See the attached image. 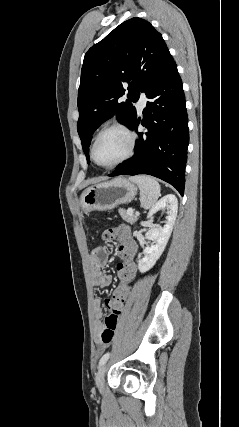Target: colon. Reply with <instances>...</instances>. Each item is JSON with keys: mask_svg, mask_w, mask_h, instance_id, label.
<instances>
[{"mask_svg": "<svg viewBox=\"0 0 239 427\" xmlns=\"http://www.w3.org/2000/svg\"><path fill=\"white\" fill-rule=\"evenodd\" d=\"M111 229L103 233V238L109 244H118L117 254L120 257L115 265L116 282L110 296L105 297V304L108 305V315L105 318V327L101 333L103 344H109L114 338L118 327L119 317L125 298L130 297L139 268L136 262L137 243L130 235L131 231L126 222H117L111 225Z\"/></svg>", "mask_w": 239, "mask_h": 427, "instance_id": "1", "label": "colon"}]
</instances>
